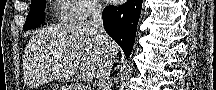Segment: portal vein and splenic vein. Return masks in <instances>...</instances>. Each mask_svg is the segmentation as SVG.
Wrapping results in <instances>:
<instances>
[{"instance_id":"obj_1","label":"portal vein and splenic vein","mask_w":216,"mask_h":90,"mask_svg":"<svg viewBox=\"0 0 216 90\" xmlns=\"http://www.w3.org/2000/svg\"><path fill=\"white\" fill-rule=\"evenodd\" d=\"M82 80H84V82H89V80H91V76H88V74H83Z\"/></svg>"}]
</instances>
